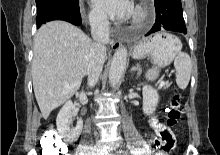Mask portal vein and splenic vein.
Instances as JSON below:
<instances>
[{
    "label": "portal vein and splenic vein",
    "mask_w": 220,
    "mask_h": 155,
    "mask_svg": "<svg viewBox=\"0 0 220 155\" xmlns=\"http://www.w3.org/2000/svg\"><path fill=\"white\" fill-rule=\"evenodd\" d=\"M165 84H166L165 81L162 80L159 84V88H162L163 86H165Z\"/></svg>",
    "instance_id": "obj_1"
}]
</instances>
